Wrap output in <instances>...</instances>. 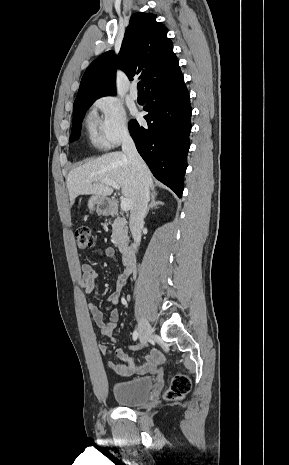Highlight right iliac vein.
<instances>
[{"mask_svg": "<svg viewBox=\"0 0 289 465\" xmlns=\"http://www.w3.org/2000/svg\"><path fill=\"white\" fill-rule=\"evenodd\" d=\"M139 336H140V341L143 345H146L147 342L153 336V330L148 320L144 317L141 318L140 323H139Z\"/></svg>", "mask_w": 289, "mask_h": 465, "instance_id": "obj_1", "label": "right iliac vein"}]
</instances>
